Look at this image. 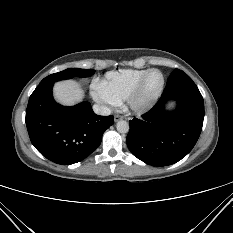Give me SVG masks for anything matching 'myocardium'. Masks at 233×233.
<instances>
[{
	"label": "myocardium",
	"instance_id": "myocardium-1",
	"mask_svg": "<svg viewBox=\"0 0 233 233\" xmlns=\"http://www.w3.org/2000/svg\"><path fill=\"white\" fill-rule=\"evenodd\" d=\"M158 72L161 76V84L159 89L156 91V93L151 96L147 100H142L141 96L143 93L145 82L148 78V76L153 73ZM165 87V77L163 73L158 69H149L147 72H145L142 77L139 79L137 84L134 86V88L131 90L129 95L126 98V104L130 111H132L135 114H144L151 110L155 104L158 102L163 90Z\"/></svg>",
	"mask_w": 233,
	"mask_h": 233
}]
</instances>
